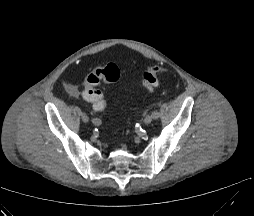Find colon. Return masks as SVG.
Wrapping results in <instances>:
<instances>
[{"label": "colon", "instance_id": "obj_1", "mask_svg": "<svg viewBox=\"0 0 254 216\" xmlns=\"http://www.w3.org/2000/svg\"><path fill=\"white\" fill-rule=\"evenodd\" d=\"M161 75L160 67L153 65L149 66L142 75V86L148 90L153 91L159 84V77ZM120 77V70L115 64H108L104 67H96L93 71L88 73L84 78L83 97L93 103L94 106L105 107L106 101L102 92L98 89L101 82L115 83Z\"/></svg>", "mask_w": 254, "mask_h": 216}]
</instances>
